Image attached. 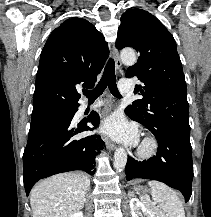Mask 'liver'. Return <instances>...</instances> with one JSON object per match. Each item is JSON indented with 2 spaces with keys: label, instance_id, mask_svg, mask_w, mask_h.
Here are the masks:
<instances>
[{
  "label": "liver",
  "instance_id": "6515ba94",
  "mask_svg": "<svg viewBox=\"0 0 211 217\" xmlns=\"http://www.w3.org/2000/svg\"><path fill=\"white\" fill-rule=\"evenodd\" d=\"M90 187L83 173H62L36 184L30 193L33 217H69L81 210Z\"/></svg>",
  "mask_w": 211,
  "mask_h": 217
}]
</instances>
